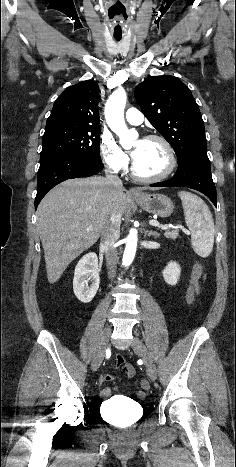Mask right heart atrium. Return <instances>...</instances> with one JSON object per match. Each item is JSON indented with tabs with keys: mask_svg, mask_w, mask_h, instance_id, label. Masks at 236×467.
<instances>
[{
	"mask_svg": "<svg viewBox=\"0 0 236 467\" xmlns=\"http://www.w3.org/2000/svg\"><path fill=\"white\" fill-rule=\"evenodd\" d=\"M100 155L105 166L113 172H123L128 168L129 158L110 134L100 139Z\"/></svg>",
	"mask_w": 236,
	"mask_h": 467,
	"instance_id": "d8ad5b80",
	"label": "right heart atrium"
}]
</instances>
